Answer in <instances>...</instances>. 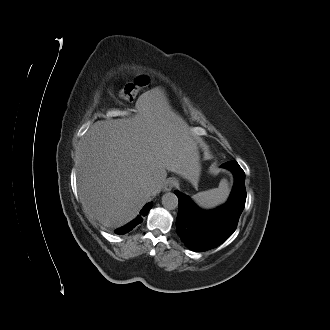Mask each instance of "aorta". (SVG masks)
Masks as SVG:
<instances>
[{
  "instance_id": "762f6f07",
  "label": "aorta",
  "mask_w": 330,
  "mask_h": 330,
  "mask_svg": "<svg viewBox=\"0 0 330 330\" xmlns=\"http://www.w3.org/2000/svg\"><path fill=\"white\" fill-rule=\"evenodd\" d=\"M162 205L167 209H175L178 206V198L172 192H166L162 196Z\"/></svg>"
}]
</instances>
